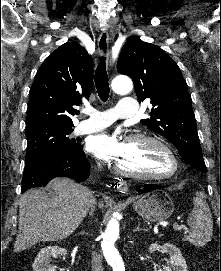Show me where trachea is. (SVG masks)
I'll use <instances>...</instances> for the list:
<instances>
[{
	"mask_svg": "<svg viewBox=\"0 0 221 271\" xmlns=\"http://www.w3.org/2000/svg\"><path fill=\"white\" fill-rule=\"evenodd\" d=\"M105 57L102 56L99 59V64L95 72V85H96V90L98 93V96L100 99L104 102H106L109 98V93H110V86H109V80H108V75L106 71V62H105Z\"/></svg>",
	"mask_w": 221,
	"mask_h": 271,
	"instance_id": "3493384b",
	"label": "trachea"
}]
</instances>
